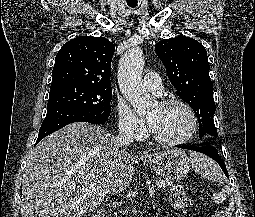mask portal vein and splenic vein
<instances>
[{
    "mask_svg": "<svg viewBox=\"0 0 255 217\" xmlns=\"http://www.w3.org/2000/svg\"><path fill=\"white\" fill-rule=\"evenodd\" d=\"M149 194H150V196L154 195V188L153 187L150 188Z\"/></svg>",
    "mask_w": 255,
    "mask_h": 217,
    "instance_id": "obj_1",
    "label": "portal vein and splenic vein"
}]
</instances>
